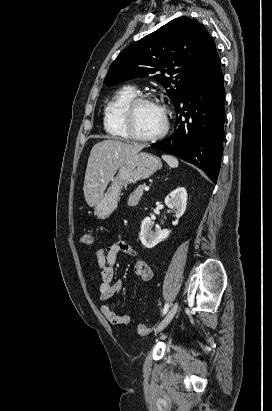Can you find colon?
Masks as SVG:
<instances>
[{
    "mask_svg": "<svg viewBox=\"0 0 272 411\" xmlns=\"http://www.w3.org/2000/svg\"><path fill=\"white\" fill-rule=\"evenodd\" d=\"M94 241V238L91 234H84L81 237V243L84 245H91ZM137 331L139 333V335L141 336H148L151 334L152 332V328L149 326H146L144 324H139L137 327Z\"/></svg>",
    "mask_w": 272,
    "mask_h": 411,
    "instance_id": "1",
    "label": "colon"
}]
</instances>
